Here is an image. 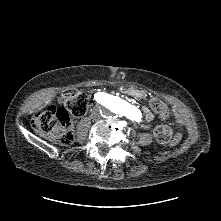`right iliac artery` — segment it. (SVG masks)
Returning a JSON list of instances; mask_svg holds the SVG:
<instances>
[{
    "mask_svg": "<svg viewBox=\"0 0 221 221\" xmlns=\"http://www.w3.org/2000/svg\"><path fill=\"white\" fill-rule=\"evenodd\" d=\"M106 98H108V97H106L104 93H103V94H98L97 96H95V99H96L97 101H102V103H103V101H104Z\"/></svg>",
    "mask_w": 221,
    "mask_h": 221,
    "instance_id": "obj_1",
    "label": "right iliac artery"
}]
</instances>
